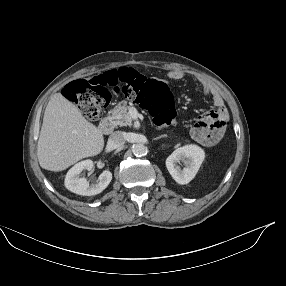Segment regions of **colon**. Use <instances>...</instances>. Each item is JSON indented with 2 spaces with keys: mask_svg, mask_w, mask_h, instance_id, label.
<instances>
[{
  "mask_svg": "<svg viewBox=\"0 0 286 286\" xmlns=\"http://www.w3.org/2000/svg\"><path fill=\"white\" fill-rule=\"evenodd\" d=\"M111 91L127 98L139 97L141 104L160 124L175 118L174 99L168 86L149 79L133 69L107 71L87 80H75L65 89V97L76 103L84 116L97 120L111 100ZM225 131V122L215 112L202 114L193 126L192 135L201 144L218 145Z\"/></svg>",
  "mask_w": 286,
  "mask_h": 286,
  "instance_id": "obj_1",
  "label": "colon"
}]
</instances>
